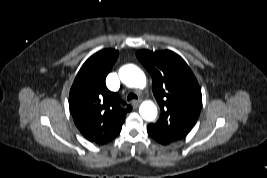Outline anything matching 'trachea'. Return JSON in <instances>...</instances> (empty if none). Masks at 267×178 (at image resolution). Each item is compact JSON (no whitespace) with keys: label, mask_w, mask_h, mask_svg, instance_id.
I'll use <instances>...</instances> for the list:
<instances>
[{"label":"trachea","mask_w":267,"mask_h":178,"mask_svg":"<svg viewBox=\"0 0 267 178\" xmlns=\"http://www.w3.org/2000/svg\"><path fill=\"white\" fill-rule=\"evenodd\" d=\"M133 99H137L136 94H134V93H129L128 96H127V100L130 101V100H133Z\"/></svg>","instance_id":"trachea-1"}]
</instances>
